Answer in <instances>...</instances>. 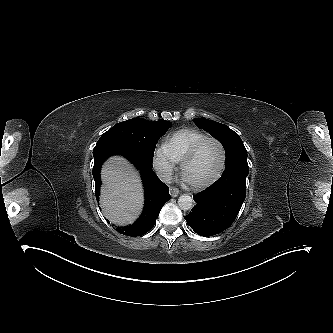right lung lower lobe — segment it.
<instances>
[{"label": "right lung lower lobe", "instance_id": "obj_1", "mask_svg": "<svg viewBox=\"0 0 333 333\" xmlns=\"http://www.w3.org/2000/svg\"><path fill=\"white\" fill-rule=\"evenodd\" d=\"M120 154L134 164L142 175L145 189V206L141 217L132 225L116 227L115 229L126 236L137 237L147 233L156 222L163 205L170 200L169 188L152 170V164L146 161L137 150L123 138L105 132L93 149L95 193L97 201L100 194V169L103 162L111 155Z\"/></svg>", "mask_w": 333, "mask_h": 333}]
</instances>
